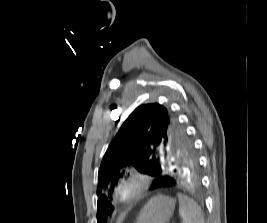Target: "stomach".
Instances as JSON below:
<instances>
[{
  "instance_id": "obj_1",
  "label": "stomach",
  "mask_w": 267,
  "mask_h": 223,
  "mask_svg": "<svg viewBox=\"0 0 267 223\" xmlns=\"http://www.w3.org/2000/svg\"><path fill=\"white\" fill-rule=\"evenodd\" d=\"M174 209V199L164 195L155 196L141 209L136 223H168Z\"/></svg>"
}]
</instances>
